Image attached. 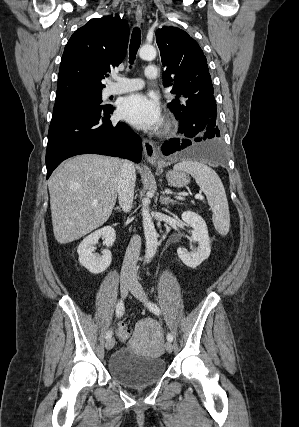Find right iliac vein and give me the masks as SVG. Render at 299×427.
Wrapping results in <instances>:
<instances>
[{
    "instance_id": "right-iliac-vein-1",
    "label": "right iliac vein",
    "mask_w": 299,
    "mask_h": 427,
    "mask_svg": "<svg viewBox=\"0 0 299 427\" xmlns=\"http://www.w3.org/2000/svg\"><path fill=\"white\" fill-rule=\"evenodd\" d=\"M131 281L126 277H121L120 279V290L122 298H126L128 295V291L130 289ZM115 339L109 338L106 342V349L111 350L114 347Z\"/></svg>"
}]
</instances>
